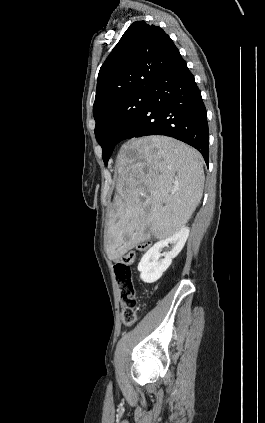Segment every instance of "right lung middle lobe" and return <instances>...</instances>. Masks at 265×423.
Returning <instances> with one entry per match:
<instances>
[{
  "label": "right lung middle lobe",
  "mask_w": 265,
  "mask_h": 423,
  "mask_svg": "<svg viewBox=\"0 0 265 423\" xmlns=\"http://www.w3.org/2000/svg\"><path fill=\"white\" fill-rule=\"evenodd\" d=\"M149 98L150 90L135 92L107 108L95 119V137L102 147L105 165L122 133L145 107Z\"/></svg>",
  "instance_id": "right-lung-middle-lobe-1"
}]
</instances>
